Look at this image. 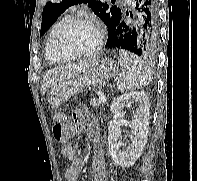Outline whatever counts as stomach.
<instances>
[{"mask_svg": "<svg viewBox=\"0 0 197 181\" xmlns=\"http://www.w3.org/2000/svg\"><path fill=\"white\" fill-rule=\"evenodd\" d=\"M87 63L85 70L73 77L57 82L52 87L49 99L53 107L59 108L69 98L86 88L105 84L118 75L120 71L117 61L110 58H98Z\"/></svg>", "mask_w": 197, "mask_h": 181, "instance_id": "obj_1", "label": "stomach"}]
</instances>
